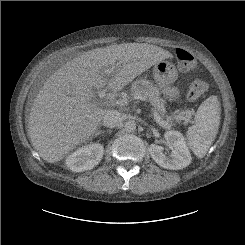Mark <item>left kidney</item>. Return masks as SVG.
Returning <instances> with one entry per match:
<instances>
[{
  "mask_svg": "<svg viewBox=\"0 0 245 245\" xmlns=\"http://www.w3.org/2000/svg\"><path fill=\"white\" fill-rule=\"evenodd\" d=\"M164 138L171 149L170 156L163 153L162 146L151 144L149 153L152 159L165 169L178 170L187 167L192 158L182 133L174 130L166 131Z\"/></svg>",
  "mask_w": 245,
  "mask_h": 245,
  "instance_id": "obj_1",
  "label": "left kidney"
}]
</instances>
